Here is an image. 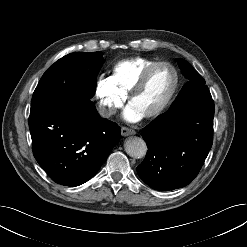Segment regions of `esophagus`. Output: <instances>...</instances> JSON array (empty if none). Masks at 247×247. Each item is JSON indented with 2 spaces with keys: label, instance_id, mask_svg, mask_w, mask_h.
Returning <instances> with one entry per match:
<instances>
[{
  "label": "esophagus",
  "instance_id": "esophagus-1",
  "mask_svg": "<svg viewBox=\"0 0 247 247\" xmlns=\"http://www.w3.org/2000/svg\"><path fill=\"white\" fill-rule=\"evenodd\" d=\"M121 134L122 136H129L135 134V131L127 127H122Z\"/></svg>",
  "mask_w": 247,
  "mask_h": 247
}]
</instances>
